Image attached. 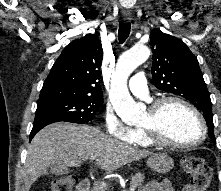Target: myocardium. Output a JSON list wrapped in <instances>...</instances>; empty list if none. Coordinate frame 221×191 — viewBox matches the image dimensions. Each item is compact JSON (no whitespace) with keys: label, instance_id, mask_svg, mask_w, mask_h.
Instances as JSON below:
<instances>
[{"label":"myocardium","instance_id":"f54148a6","mask_svg":"<svg viewBox=\"0 0 221 191\" xmlns=\"http://www.w3.org/2000/svg\"><path fill=\"white\" fill-rule=\"evenodd\" d=\"M171 103H176L183 106L196 117L201 128L200 137L197 140L189 143H177L169 141L164 137L162 131V114L164 108ZM148 114L150 117V123L147 125H142L140 128L145 132L147 138L154 146L180 149L193 148L203 143L207 137V125L204 117L193 104L181 97L164 96L155 100L150 105Z\"/></svg>","mask_w":221,"mask_h":191}]
</instances>
